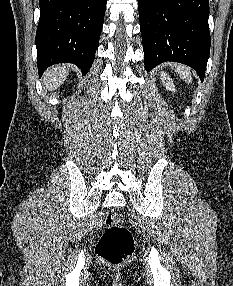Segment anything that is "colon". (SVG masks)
<instances>
[{"mask_svg": "<svg viewBox=\"0 0 233 286\" xmlns=\"http://www.w3.org/2000/svg\"><path fill=\"white\" fill-rule=\"evenodd\" d=\"M124 221L121 213H110L106 229L96 246L99 259L112 266L123 264L134 251V240Z\"/></svg>", "mask_w": 233, "mask_h": 286, "instance_id": "1", "label": "colon"}]
</instances>
